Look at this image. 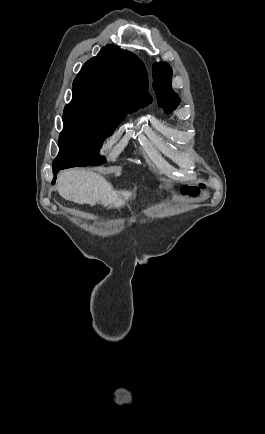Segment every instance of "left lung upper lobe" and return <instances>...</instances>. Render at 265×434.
I'll list each match as a JSON object with an SVG mask.
<instances>
[{
	"mask_svg": "<svg viewBox=\"0 0 265 434\" xmlns=\"http://www.w3.org/2000/svg\"><path fill=\"white\" fill-rule=\"evenodd\" d=\"M152 71L158 104L165 112L171 113L180 102V98L171 87L172 68L167 63L159 62L153 65Z\"/></svg>",
	"mask_w": 265,
	"mask_h": 434,
	"instance_id": "5c2ea615",
	"label": "left lung upper lobe"
}]
</instances>
